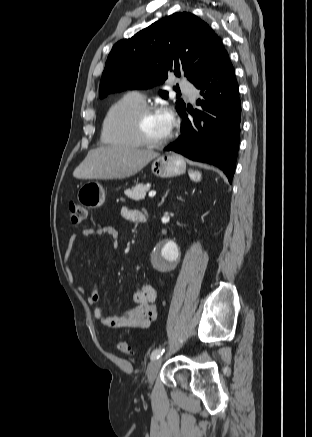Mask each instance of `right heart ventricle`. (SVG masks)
<instances>
[{"mask_svg":"<svg viewBox=\"0 0 312 437\" xmlns=\"http://www.w3.org/2000/svg\"><path fill=\"white\" fill-rule=\"evenodd\" d=\"M143 101L134 94H126L108 109L102 123L101 138L106 144L136 148L141 146L132 129V115Z\"/></svg>","mask_w":312,"mask_h":437,"instance_id":"obj_1","label":"right heart ventricle"}]
</instances>
